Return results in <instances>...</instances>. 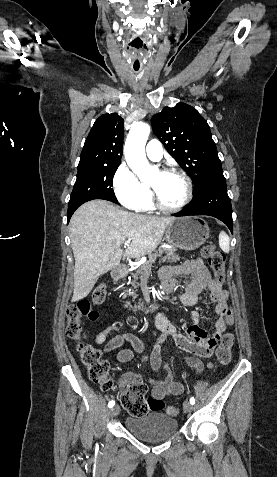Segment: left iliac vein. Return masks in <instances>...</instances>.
<instances>
[{"label": "left iliac vein", "instance_id": "1", "mask_svg": "<svg viewBox=\"0 0 277 477\" xmlns=\"http://www.w3.org/2000/svg\"><path fill=\"white\" fill-rule=\"evenodd\" d=\"M183 408L186 412H191L193 410V405L190 402L185 401L183 404Z\"/></svg>", "mask_w": 277, "mask_h": 477}]
</instances>
